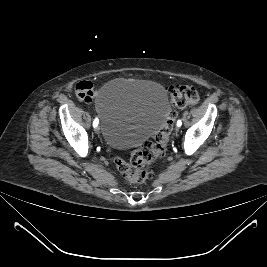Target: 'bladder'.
Listing matches in <instances>:
<instances>
[{"label":"bladder","instance_id":"31cf9c89","mask_svg":"<svg viewBox=\"0 0 267 267\" xmlns=\"http://www.w3.org/2000/svg\"><path fill=\"white\" fill-rule=\"evenodd\" d=\"M105 142L116 149L140 145L165 120L168 93L158 83L117 78L106 83L95 101Z\"/></svg>","mask_w":267,"mask_h":267}]
</instances>
